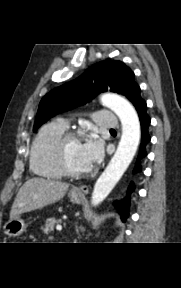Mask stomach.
Masks as SVG:
<instances>
[{"mask_svg": "<svg viewBox=\"0 0 181 288\" xmlns=\"http://www.w3.org/2000/svg\"><path fill=\"white\" fill-rule=\"evenodd\" d=\"M70 199L74 203H81L82 196L71 191L69 193ZM27 228L25 221L18 215L10 220L4 225L3 231L4 234L8 237H18L20 236Z\"/></svg>", "mask_w": 181, "mask_h": 288, "instance_id": "stomach-1", "label": "stomach"}]
</instances>
